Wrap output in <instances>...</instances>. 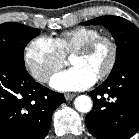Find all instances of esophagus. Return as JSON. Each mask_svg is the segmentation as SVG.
<instances>
[{
	"label": "esophagus",
	"instance_id": "34e87169",
	"mask_svg": "<svg viewBox=\"0 0 139 139\" xmlns=\"http://www.w3.org/2000/svg\"><path fill=\"white\" fill-rule=\"evenodd\" d=\"M74 97H75V94H72V93H66L65 94V98L67 101L72 100Z\"/></svg>",
	"mask_w": 139,
	"mask_h": 139
}]
</instances>
